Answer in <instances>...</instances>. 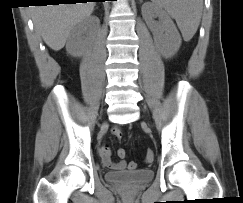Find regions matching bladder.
<instances>
[{"label": "bladder", "instance_id": "obj_1", "mask_svg": "<svg viewBox=\"0 0 243 203\" xmlns=\"http://www.w3.org/2000/svg\"><path fill=\"white\" fill-rule=\"evenodd\" d=\"M154 172L151 169L135 171H109L105 173V179L109 183L141 184L152 181Z\"/></svg>", "mask_w": 243, "mask_h": 203}]
</instances>
